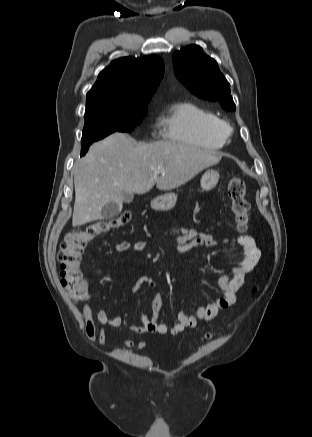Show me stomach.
I'll use <instances>...</instances> for the list:
<instances>
[{"instance_id": "1", "label": "stomach", "mask_w": 312, "mask_h": 437, "mask_svg": "<svg viewBox=\"0 0 312 437\" xmlns=\"http://www.w3.org/2000/svg\"><path fill=\"white\" fill-rule=\"evenodd\" d=\"M219 172L214 169H208L201 177L200 183L204 191L212 190L219 181ZM177 202L175 193H166L157 196L151 201V207L156 211H169L173 209Z\"/></svg>"}]
</instances>
